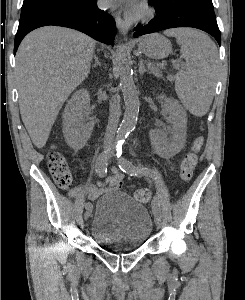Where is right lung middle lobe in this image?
<instances>
[{
  "label": "right lung middle lobe",
  "instance_id": "dd1d6c3e",
  "mask_svg": "<svg viewBox=\"0 0 245 300\" xmlns=\"http://www.w3.org/2000/svg\"><path fill=\"white\" fill-rule=\"evenodd\" d=\"M95 0H24L19 24L65 10H82Z\"/></svg>",
  "mask_w": 245,
  "mask_h": 300
}]
</instances>
